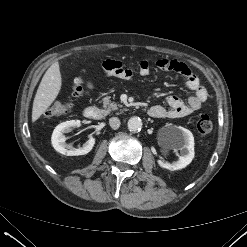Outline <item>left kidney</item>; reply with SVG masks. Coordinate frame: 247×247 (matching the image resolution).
Listing matches in <instances>:
<instances>
[{
  "instance_id": "obj_1",
  "label": "left kidney",
  "mask_w": 247,
  "mask_h": 247,
  "mask_svg": "<svg viewBox=\"0 0 247 247\" xmlns=\"http://www.w3.org/2000/svg\"><path fill=\"white\" fill-rule=\"evenodd\" d=\"M171 148L180 150L181 156L178 161L172 164L159 161L162 168L174 171L185 168L194 158V137L190 130L183 127H173V133L170 138Z\"/></svg>"
}]
</instances>
